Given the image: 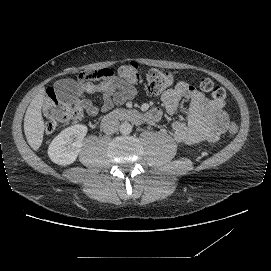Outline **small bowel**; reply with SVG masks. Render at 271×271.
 <instances>
[{"label":"small bowel","mask_w":271,"mask_h":271,"mask_svg":"<svg viewBox=\"0 0 271 271\" xmlns=\"http://www.w3.org/2000/svg\"><path fill=\"white\" fill-rule=\"evenodd\" d=\"M79 79L77 103L92 116L99 110L85 97L87 94L95 92L102 94V112H107L114 105H121L136 95V89L133 86L124 83L108 68L83 71L79 74ZM184 99L188 101L189 109L187 116L183 118L180 113ZM161 100L168 114L177 117L171 125V134L177 142L188 144L204 140L215 142L228 127L224 102L208 99L187 82L180 81L175 87L166 90ZM160 118L159 109L154 108L147 113V120L151 123L159 121Z\"/></svg>","instance_id":"small-bowel-1"}]
</instances>
